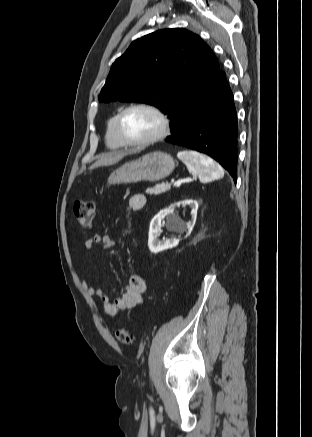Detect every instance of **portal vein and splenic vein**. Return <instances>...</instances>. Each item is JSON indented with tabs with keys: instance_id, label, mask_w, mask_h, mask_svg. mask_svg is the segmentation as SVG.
I'll use <instances>...</instances> for the list:
<instances>
[{
	"instance_id": "obj_1",
	"label": "portal vein and splenic vein",
	"mask_w": 312,
	"mask_h": 437,
	"mask_svg": "<svg viewBox=\"0 0 312 437\" xmlns=\"http://www.w3.org/2000/svg\"><path fill=\"white\" fill-rule=\"evenodd\" d=\"M182 184L181 180H177L174 182V186H180Z\"/></svg>"
}]
</instances>
